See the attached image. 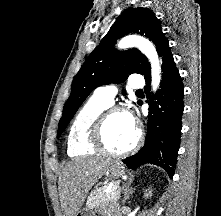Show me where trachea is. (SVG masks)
<instances>
[{"label":"trachea","instance_id":"1","mask_svg":"<svg viewBox=\"0 0 221 216\" xmlns=\"http://www.w3.org/2000/svg\"><path fill=\"white\" fill-rule=\"evenodd\" d=\"M136 93H143V90H137Z\"/></svg>","mask_w":221,"mask_h":216}]
</instances>
